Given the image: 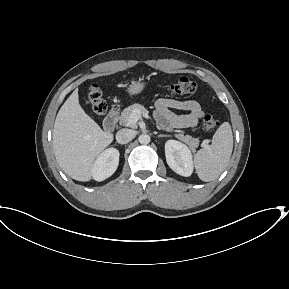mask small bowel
I'll return each instance as SVG.
<instances>
[{"label": "small bowel", "mask_w": 289, "mask_h": 289, "mask_svg": "<svg viewBox=\"0 0 289 289\" xmlns=\"http://www.w3.org/2000/svg\"><path fill=\"white\" fill-rule=\"evenodd\" d=\"M172 109L183 110L187 113L178 115ZM155 116L168 129L188 128L198 123L203 116V110L194 100L161 98L156 102Z\"/></svg>", "instance_id": "obj_1"}]
</instances>
